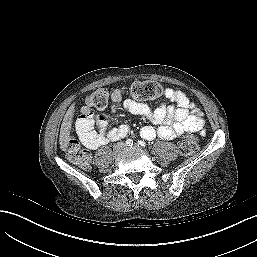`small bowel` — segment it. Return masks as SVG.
<instances>
[{"label":"small bowel","instance_id":"1","mask_svg":"<svg viewBox=\"0 0 257 257\" xmlns=\"http://www.w3.org/2000/svg\"><path fill=\"white\" fill-rule=\"evenodd\" d=\"M165 98L174 106L163 101L157 108L152 109L147 104L133 99L123 101V91L115 89L111 93L112 111L116 112L124 108L128 112L143 116L158 125L157 129L145 126L140 130L141 137L146 140H152L155 137L171 140L182 138L187 133L203 131V118L195 104L183 91L167 88ZM76 131L81 142L87 148L97 149L111 141L127 136L130 128L127 124L110 127L104 117L95 116L85 108L76 122Z\"/></svg>","mask_w":257,"mask_h":257}]
</instances>
